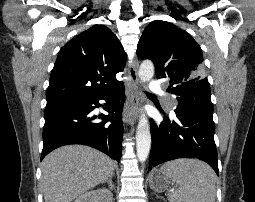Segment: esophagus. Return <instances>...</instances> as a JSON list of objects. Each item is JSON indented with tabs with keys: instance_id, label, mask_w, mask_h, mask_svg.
<instances>
[{
	"instance_id": "esophagus-1",
	"label": "esophagus",
	"mask_w": 255,
	"mask_h": 202,
	"mask_svg": "<svg viewBox=\"0 0 255 202\" xmlns=\"http://www.w3.org/2000/svg\"><path fill=\"white\" fill-rule=\"evenodd\" d=\"M138 63L135 60L128 65V98L123 111V121L133 124L136 119V110L140 100L139 79L137 74Z\"/></svg>"
}]
</instances>
